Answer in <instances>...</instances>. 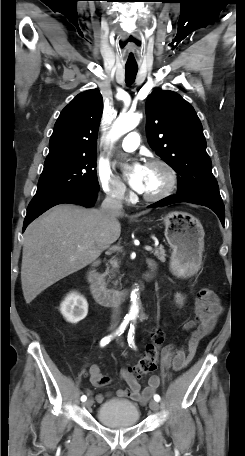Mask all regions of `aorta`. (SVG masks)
<instances>
[{"instance_id":"1","label":"aorta","mask_w":245,"mask_h":456,"mask_svg":"<svg viewBox=\"0 0 245 456\" xmlns=\"http://www.w3.org/2000/svg\"><path fill=\"white\" fill-rule=\"evenodd\" d=\"M140 118L141 115L138 113L120 115L112 125L107 136L108 139H110L111 142L117 141L122 135L133 130L139 124ZM131 302L132 305L128 317L135 318L139 311L137 294L135 291L131 293Z\"/></svg>"}]
</instances>
